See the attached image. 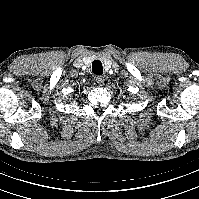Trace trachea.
<instances>
[{
	"instance_id": "3493384b",
	"label": "trachea",
	"mask_w": 199,
	"mask_h": 199,
	"mask_svg": "<svg viewBox=\"0 0 199 199\" xmlns=\"http://www.w3.org/2000/svg\"><path fill=\"white\" fill-rule=\"evenodd\" d=\"M92 72L96 75H102L103 74V67H102L101 61H99V60L93 61Z\"/></svg>"
}]
</instances>
